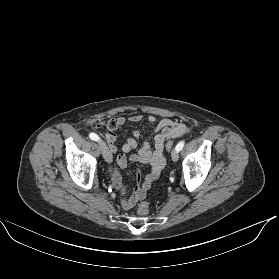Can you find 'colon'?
Returning a JSON list of instances; mask_svg holds the SVG:
<instances>
[{
	"label": "colon",
	"mask_w": 279,
	"mask_h": 279,
	"mask_svg": "<svg viewBox=\"0 0 279 279\" xmlns=\"http://www.w3.org/2000/svg\"><path fill=\"white\" fill-rule=\"evenodd\" d=\"M116 121H109L108 123H104L101 125L107 132H114L117 128ZM173 148V141L169 140L166 143V149L170 151ZM149 212V204L147 202H142L138 207V214L141 216L147 215Z\"/></svg>",
	"instance_id": "colon-1"
}]
</instances>
